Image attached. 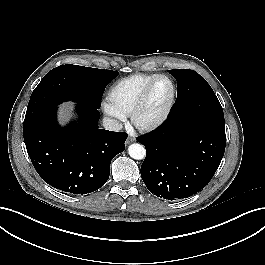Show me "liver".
I'll return each mask as SVG.
<instances>
[{"mask_svg": "<svg viewBox=\"0 0 265 265\" xmlns=\"http://www.w3.org/2000/svg\"><path fill=\"white\" fill-rule=\"evenodd\" d=\"M71 108V106L69 104H66V106H64L63 109H61L60 111V121L62 123H64L66 121V119L69 116V109Z\"/></svg>", "mask_w": 265, "mask_h": 265, "instance_id": "obj_1", "label": "liver"}]
</instances>
